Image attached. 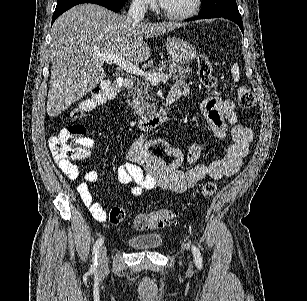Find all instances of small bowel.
Listing matches in <instances>:
<instances>
[{
    "label": "small bowel",
    "mask_w": 307,
    "mask_h": 301,
    "mask_svg": "<svg viewBox=\"0 0 307 301\" xmlns=\"http://www.w3.org/2000/svg\"><path fill=\"white\" fill-rule=\"evenodd\" d=\"M171 93L178 97L186 96L190 93V88L185 82L179 81L173 86ZM201 109L217 140H230L226 156L208 164H195L204 149L203 145H193L184 152L169 146L163 140L145 142L139 139L130 146L126 155L127 162L116 170L120 184L132 185L133 197L156 188L181 193L193 188L206 177L221 179L238 172L254 138L252 127L239 122L235 104L230 99L210 97L203 102ZM84 143L88 149L94 147L91 137L86 136ZM55 160L68 178L75 180L79 177L76 165L56 157ZM184 162L194 165L183 169ZM98 180L99 173L96 170L87 171L84 181L77 186V192L93 217L99 222H105L106 211L90 190V184Z\"/></svg>",
    "instance_id": "obj_1"
}]
</instances>
